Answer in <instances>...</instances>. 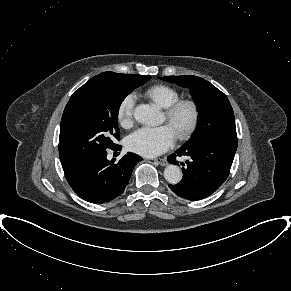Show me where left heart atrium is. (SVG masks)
Segmentation results:
<instances>
[{"label":"left heart atrium","instance_id":"39dd6f15","mask_svg":"<svg viewBox=\"0 0 291 291\" xmlns=\"http://www.w3.org/2000/svg\"><path fill=\"white\" fill-rule=\"evenodd\" d=\"M176 135L169 125L142 127L128 136L129 150L146 157L159 155L175 143Z\"/></svg>","mask_w":291,"mask_h":291}]
</instances>
